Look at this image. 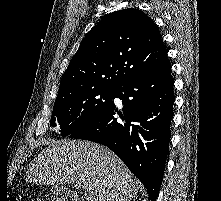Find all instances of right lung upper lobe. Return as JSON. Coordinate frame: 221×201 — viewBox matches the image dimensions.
<instances>
[{"label": "right lung upper lobe", "mask_w": 221, "mask_h": 201, "mask_svg": "<svg viewBox=\"0 0 221 201\" xmlns=\"http://www.w3.org/2000/svg\"><path fill=\"white\" fill-rule=\"evenodd\" d=\"M166 60L160 32L146 14L133 8L110 13L81 41L62 76L56 99L93 88L115 90Z\"/></svg>", "instance_id": "cb5924a9"}]
</instances>
